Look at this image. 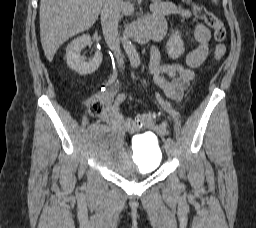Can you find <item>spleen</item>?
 <instances>
[{
    "mask_svg": "<svg viewBox=\"0 0 256 228\" xmlns=\"http://www.w3.org/2000/svg\"><path fill=\"white\" fill-rule=\"evenodd\" d=\"M218 0H212V2L216 3Z\"/></svg>",
    "mask_w": 256,
    "mask_h": 228,
    "instance_id": "spleen-1",
    "label": "spleen"
}]
</instances>
